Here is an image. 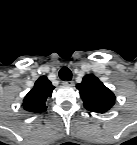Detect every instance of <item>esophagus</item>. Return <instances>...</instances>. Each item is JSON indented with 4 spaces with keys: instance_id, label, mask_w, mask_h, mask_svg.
Returning <instances> with one entry per match:
<instances>
[{
    "instance_id": "esophagus-1",
    "label": "esophagus",
    "mask_w": 137,
    "mask_h": 145,
    "mask_svg": "<svg viewBox=\"0 0 137 145\" xmlns=\"http://www.w3.org/2000/svg\"><path fill=\"white\" fill-rule=\"evenodd\" d=\"M63 85L65 86H73L74 85V82L71 81V80H65L62 82Z\"/></svg>"
}]
</instances>
